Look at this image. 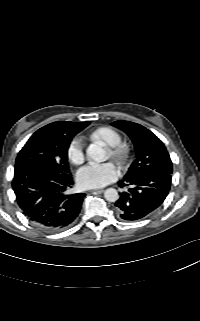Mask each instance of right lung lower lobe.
<instances>
[{"label": "right lung lower lobe", "instance_id": "right-lung-lower-lobe-1", "mask_svg": "<svg viewBox=\"0 0 200 321\" xmlns=\"http://www.w3.org/2000/svg\"><path fill=\"white\" fill-rule=\"evenodd\" d=\"M74 184L70 173H57L46 164L16 167L12 187L23 214L36 227L57 232L78 216L85 194H69Z\"/></svg>", "mask_w": 200, "mask_h": 321}]
</instances>
